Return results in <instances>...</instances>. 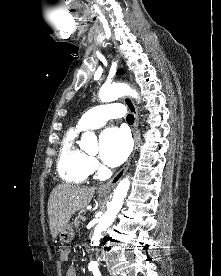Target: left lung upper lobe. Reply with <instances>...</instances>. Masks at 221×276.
<instances>
[{"mask_svg":"<svg viewBox=\"0 0 221 276\" xmlns=\"http://www.w3.org/2000/svg\"><path fill=\"white\" fill-rule=\"evenodd\" d=\"M117 74H123V71H122V70H120V71H118V72H117Z\"/></svg>","mask_w":221,"mask_h":276,"instance_id":"obj_1","label":"left lung upper lobe"}]
</instances>
